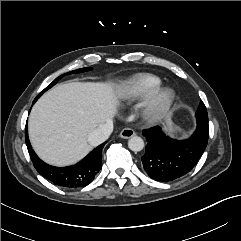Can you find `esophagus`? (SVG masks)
<instances>
[{"label":"esophagus","instance_id":"1","mask_svg":"<svg viewBox=\"0 0 241 241\" xmlns=\"http://www.w3.org/2000/svg\"><path fill=\"white\" fill-rule=\"evenodd\" d=\"M135 135V131L131 128H124L121 132H120V137L123 139H128L131 138Z\"/></svg>","mask_w":241,"mask_h":241}]
</instances>
